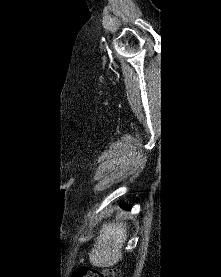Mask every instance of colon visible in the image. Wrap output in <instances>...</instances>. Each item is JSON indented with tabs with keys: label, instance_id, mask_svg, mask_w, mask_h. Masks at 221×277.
I'll return each instance as SVG.
<instances>
[{
	"label": "colon",
	"instance_id": "5ec220e1",
	"mask_svg": "<svg viewBox=\"0 0 221 277\" xmlns=\"http://www.w3.org/2000/svg\"><path fill=\"white\" fill-rule=\"evenodd\" d=\"M72 277H121V273L117 269L98 271L93 268L83 267L76 269Z\"/></svg>",
	"mask_w": 221,
	"mask_h": 277
}]
</instances>
